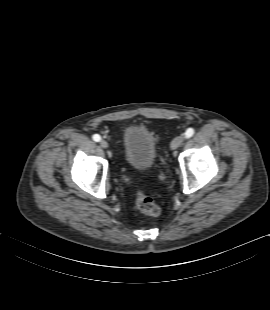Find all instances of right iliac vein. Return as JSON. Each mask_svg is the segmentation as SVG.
Listing matches in <instances>:
<instances>
[{
    "instance_id": "right-iliac-vein-1",
    "label": "right iliac vein",
    "mask_w": 270,
    "mask_h": 310,
    "mask_svg": "<svg viewBox=\"0 0 270 310\" xmlns=\"http://www.w3.org/2000/svg\"><path fill=\"white\" fill-rule=\"evenodd\" d=\"M100 146H101L102 148L106 149V148H108L109 145H108L107 141L101 140V141H100Z\"/></svg>"
}]
</instances>
